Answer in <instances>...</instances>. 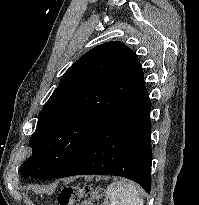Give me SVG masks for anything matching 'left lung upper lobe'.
Instances as JSON below:
<instances>
[{"label":"left lung upper lobe","mask_w":199,"mask_h":205,"mask_svg":"<svg viewBox=\"0 0 199 205\" xmlns=\"http://www.w3.org/2000/svg\"><path fill=\"white\" fill-rule=\"evenodd\" d=\"M140 62L124 43L107 42L81 56L63 75L30 138L24 177L53 179L78 156L99 122L130 91Z\"/></svg>","instance_id":"obj_1"}]
</instances>
